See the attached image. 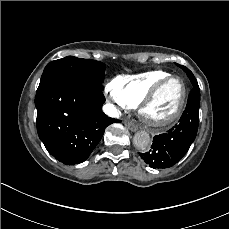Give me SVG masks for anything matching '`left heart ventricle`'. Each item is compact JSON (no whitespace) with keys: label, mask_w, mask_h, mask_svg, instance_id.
<instances>
[{"label":"left heart ventricle","mask_w":229,"mask_h":229,"mask_svg":"<svg viewBox=\"0 0 229 229\" xmlns=\"http://www.w3.org/2000/svg\"><path fill=\"white\" fill-rule=\"evenodd\" d=\"M184 97L185 88L180 79L166 84L150 105L152 118L156 121H164L172 117L181 107Z\"/></svg>","instance_id":"obj_1"}]
</instances>
